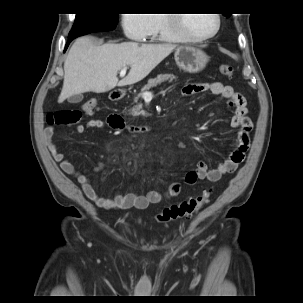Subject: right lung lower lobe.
<instances>
[{"mask_svg":"<svg viewBox=\"0 0 303 303\" xmlns=\"http://www.w3.org/2000/svg\"><path fill=\"white\" fill-rule=\"evenodd\" d=\"M110 30H113V29L102 28V29L93 30V31H91V32H89V33H92V32H101V31H110ZM89 33H88V34H89ZM75 38H76V37H69V38H68V42H67V45H66L65 50L67 49L69 43H70L73 39H75Z\"/></svg>","mask_w":303,"mask_h":303,"instance_id":"obj_1","label":"right lung lower lobe"}]
</instances>
